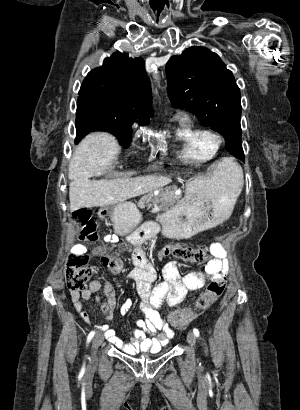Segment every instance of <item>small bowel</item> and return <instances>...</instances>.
<instances>
[{"label": "small bowel", "mask_w": 300, "mask_h": 410, "mask_svg": "<svg viewBox=\"0 0 300 410\" xmlns=\"http://www.w3.org/2000/svg\"><path fill=\"white\" fill-rule=\"evenodd\" d=\"M143 240H145V236L140 232H135L128 237L131 246V260L134 264L128 277L135 283L140 299L139 310L142 314L135 320L136 327L132 330V340L123 342L108 325L99 326L109 343L130 355L138 351H158L174 336V331L161 315L160 308L164 305L177 306L189 292L202 289L206 281L225 280L230 269L226 251L219 243H211L209 250L213 258L205 265L203 271L181 274L176 263L169 262L163 267V280L157 283V271L139 247ZM105 251V247H96L92 253L100 255ZM73 252L74 254H84L88 252V247L84 244H76L73 247ZM101 288H103L106 298L98 301L103 314L109 320L114 315L117 300L115 290L108 281L92 280L81 293L71 292L74 308L86 323L90 321V316L84 310L81 300H90ZM132 306L133 300L126 299L119 308V313L127 314Z\"/></svg>", "instance_id": "small-bowel-1"}]
</instances>
